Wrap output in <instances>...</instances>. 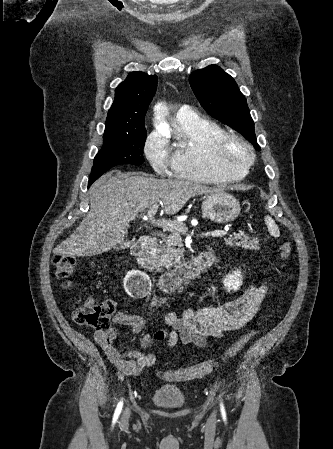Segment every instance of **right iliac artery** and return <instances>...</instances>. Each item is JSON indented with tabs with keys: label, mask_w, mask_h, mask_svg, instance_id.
Wrapping results in <instances>:
<instances>
[{
	"label": "right iliac artery",
	"mask_w": 333,
	"mask_h": 449,
	"mask_svg": "<svg viewBox=\"0 0 333 449\" xmlns=\"http://www.w3.org/2000/svg\"><path fill=\"white\" fill-rule=\"evenodd\" d=\"M122 405H123L122 402L118 403V405H117V408H116V411H115L114 417H113L114 422L118 419V416L122 410Z\"/></svg>",
	"instance_id": "1"
}]
</instances>
